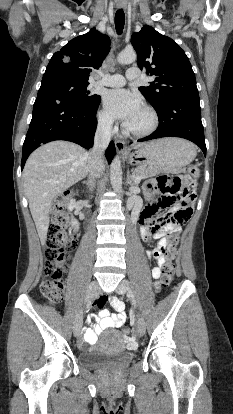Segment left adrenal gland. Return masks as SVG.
Listing matches in <instances>:
<instances>
[{"label":"left adrenal gland","instance_id":"1","mask_svg":"<svg viewBox=\"0 0 233 414\" xmlns=\"http://www.w3.org/2000/svg\"><path fill=\"white\" fill-rule=\"evenodd\" d=\"M127 184L133 185V182H132L131 175H130V172L129 171L127 173Z\"/></svg>","mask_w":233,"mask_h":414}]
</instances>
